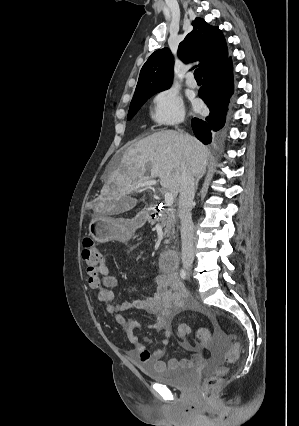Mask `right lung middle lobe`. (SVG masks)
Returning a JSON list of instances; mask_svg holds the SVG:
<instances>
[{
  "mask_svg": "<svg viewBox=\"0 0 299 426\" xmlns=\"http://www.w3.org/2000/svg\"><path fill=\"white\" fill-rule=\"evenodd\" d=\"M157 92H146L133 96V99L130 104L127 120H130L134 117L137 111L141 108V106L146 102L148 98L154 95Z\"/></svg>",
  "mask_w": 299,
  "mask_h": 426,
  "instance_id": "dd1d6c3e",
  "label": "right lung middle lobe"
}]
</instances>
